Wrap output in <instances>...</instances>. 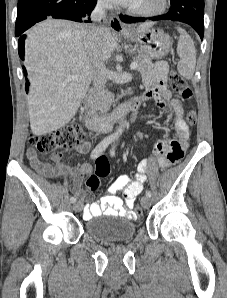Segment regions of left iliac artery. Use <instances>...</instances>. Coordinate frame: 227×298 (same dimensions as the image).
<instances>
[{
  "label": "left iliac artery",
  "instance_id": "left-iliac-artery-1",
  "mask_svg": "<svg viewBox=\"0 0 227 298\" xmlns=\"http://www.w3.org/2000/svg\"><path fill=\"white\" fill-rule=\"evenodd\" d=\"M110 154H111V156H114V154H115V147H113L111 149ZM146 196L151 197V191L150 190H147L146 191Z\"/></svg>",
  "mask_w": 227,
  "mask_h": 298
}]
</instances>
